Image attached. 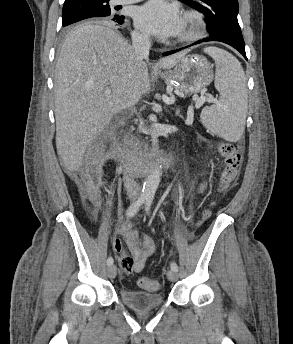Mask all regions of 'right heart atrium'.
<instances>
[{
  "label": "right heart atrium",
  "instance_id": "right-heart-atrium-1",
  "mask_svg": "<svg viewBox=\"0 0 293 344\" xmlns=\"http://www.w3.org/2000/svg\"><path fill=\"white\" fill-rule=\"evenodd\" d=\"M134 37L137 39V40H146V36H144L143 34L139 33V32H135L134 33Z\"/></svg>",
  "mask_w": 293,
  "mask_h": 344
}]
</instances>
